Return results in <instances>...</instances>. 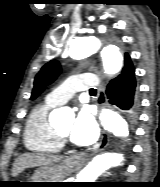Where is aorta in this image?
Masks as SVG:
<instances>
[{
  "label": "aorta",
  "instance_id": "1",
  "mask_svg": "<svg viewBox=\"0 0 160 187\" xmlns=\"http://www.w3.org/2000/svg\"><path fill=\"white\" fill-rule=\"evenodd\" d=\"M74 59H82L100 53L105 73H118L123 64V56L114 45H105L97 36L79 37L72 41L69 50ZM69 109L60 108L52 112L51 117L63 119L68 117ZM103 128L116 137L128 138L129 128L125 119L117 112L103 110L100 115ZM123 154L119 151L106 152L96 156L78 175L76 182H95L105 171L122 165Z\"/></svg>",
  "mask_w": 160,
  "mask_h": 187
}]
</instances>
